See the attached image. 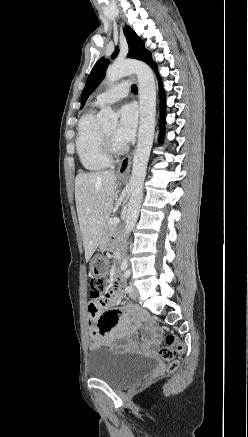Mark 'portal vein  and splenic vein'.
Here are the masks:
<instances>
[{
  "label": "portal vein and splenic vein",
  "mask_w": 248,
  "mask_h": 437,
  "mask_svg": "<svg viewBox=\"0 0 248 437\" xmlns=\"http://www.w3.org/2000/svg\"><path fill=\"white\" fill-rule=\"evenodd\" d=\"M119 223V218L113 217L109 219V224H117Z\"/></svg>",
  "instance_id": "18ae733b"
}]
</instances>
